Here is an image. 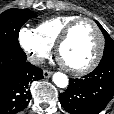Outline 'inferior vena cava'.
<instances>
[{"label": "inferior vena cava", "mask_w": 114, "mask_h": 114, "mask_svg": "<svg viewBox=\"0 0 114 114\" xmlns=\"http://www.w3.org/2000/svg\"><path fill=\"white\" fill-rule=\"evenodd\" d=\"M33 65H42L44 63V58L40 55H31L27 59Z\"/></svg>", "instance_id": "602c4592"}]
</instances>
